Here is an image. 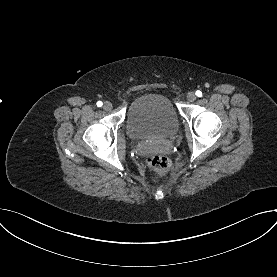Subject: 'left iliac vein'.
I'll return each mask as SVG.
<instances>
[{"instance_id":"left-iliac-vein-1","label":"left iliac vein","mask_w":277,"mask_h":277,"mask_svg":"<svg viewBox=\"0 0 277 277\" xmlns=\"http://www.w3.org/2000/svg\"><path fill=\"white\" fill-rule=\"evenodd\" d=\"M187 100H188L189 102L195 101V100H196V94H195L194 92H189V93L187 94Z\"/></svg>"}]
</instances>
